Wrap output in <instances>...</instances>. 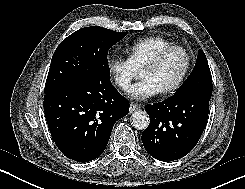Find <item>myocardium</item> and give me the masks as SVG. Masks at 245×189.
Returning <instances> with one entry per match:
<instances>
[{"label": "myocardium", "instance_id": "f54148a6", "mask_svg": "<svg viewBox=\"0 0 245 189\" xmlns=\"http://www.w3.org/2000/svg\"><path fill=\"white\" fill-rule=\"evenodd\" d=\"M174 51H179L183 53V55L186 58V67H185L183 74L181 75V77L178 79L177 82H175L170 87L160 91L161 94L163 95H170V94L177 92L188 79L191 69H192V64H193L192 55L190 54V52L186 48L179 46V45H171V46L165 47L162 50H160L151 60H149L141 69V72H142L144 70H150V69H154L158 67L162 63V61L171 52H174Z\"/></svg>", "mask_w": 245, "mask_h": 189}]
</instances>
